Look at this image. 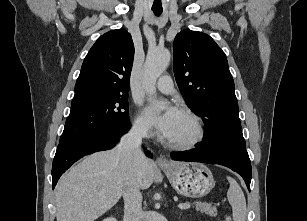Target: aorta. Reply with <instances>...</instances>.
<instances>
[{
  "mask_svg": "<svg viewBox=\"0 0 307 221\" xmlns=\"http://www.w3.org/2000/svg\"><path fill=\"white\" fill-rule=\"evenodd\" d=\"M171 54L167 49L150 50L144 64L143 87L150 97L156 95V81L169 65Z\"/></svg>",
  "mask_w": 307,
  "mask_h": 221,
  "instance_id": "aorta-1",
  "label": "aorta"
}]
</instances>
